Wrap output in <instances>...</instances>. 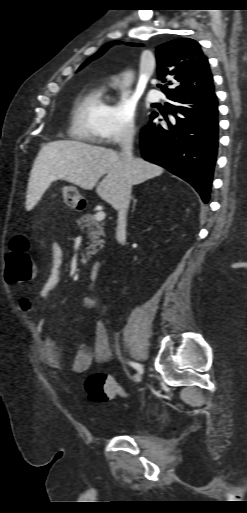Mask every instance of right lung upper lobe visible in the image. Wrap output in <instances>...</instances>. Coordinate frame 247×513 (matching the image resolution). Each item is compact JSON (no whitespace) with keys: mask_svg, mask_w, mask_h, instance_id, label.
I'll return each mask as SVG.
<instances>
[{"mask_svg":"<svg viewBox=\"0 0 247 513\" xmlns=\"http://www.w3.org/2000/svg\"><path fill=\"white\" fill-rule=\"evenodd\" d=\"M114 43L119 42L107 43L81 67L100 57ZM157 63L158 79L163 82L166 76L173 79V82L168 83L169 88L163 89L167 97L199 96L214 90L208 58L203 54L200 44L193 39H176L159 46Z\"/></svg>","mask_w":247,"mask_h":513,"instance_id":"cb5924a9","label":"right lung upper lobe"}]
</instances>
